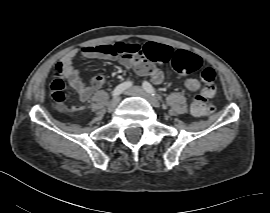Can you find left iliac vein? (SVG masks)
I'll use <instances>...</instances> for the list:
<instances>
[{"mask_svg": "<svg viewBox=\"0 0 270 213\" xmlns=\"http://www.w3.org/2000/svg\"><path fill=\"white\" fill-rule=\"evenodd\" d=\"M125 93L127 95L138 96V97H142L146 99L154 108H159L160 106L157 98L147 93L144 89L140 87L135 86V87L129 88Z\"/></svg>", "mask_w": 270, "mask_h": 213, "instance_id": "4c4485c4", "label": "left iliac vein"}]
</instances>
